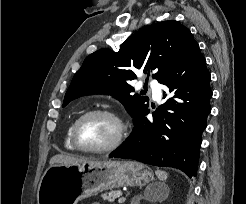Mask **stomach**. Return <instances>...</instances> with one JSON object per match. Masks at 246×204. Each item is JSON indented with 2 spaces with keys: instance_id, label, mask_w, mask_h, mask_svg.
<instances>
[{
  "instance_id": "stomach-1",
  "label": "stomach",
  "mask_w": 246,
  "mask_h": 204,
  "mask_svg": "<svg viewBox=\"0 0 246 204\" xmlns=\"http://www.w3.org/2000/svg\"><path fill=\"white\" fill-rule=\"evenodd\" d=\"M154 180L152 170L134 161L82 162L53 165L43 174L38 204H77L98 193L123 186H142Z\"/></svg>"
}]
</instances>
